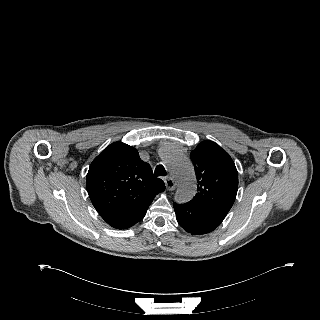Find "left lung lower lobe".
<instances>
[{"mask_svg":"<svg viewBox=\"0 0 320 320\" xmlns=\"http://www.w3.org/2000/svg\"><path fill=\"white\" fill-rule=\"evenodd\" d=\"M174 210L180 226L194 235L213 231L227 215V212L222 210L191 201L185 204L174 203Z\"/></svg>","mask_w":320,"mask_h":320,"instance_id":"left-lung-lower-lobe-1","label":"left lung lower lobe"}]
</instances>
